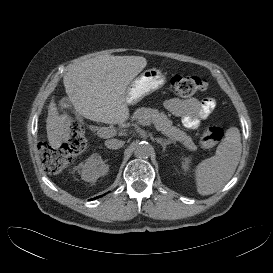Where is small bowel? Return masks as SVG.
Here are the masks:
<instances>
[{"mask_svg": "<svg viewBox=\"0 0 273 273\" xmlns=\"http://www.w3.org/2000/svg\"><path fill=\"white\" fill-rule=\"evenodd\" d=\"M163 106L173 115L180 117L186 128L196 130L212 115L216 102L213 98L201 100L171 98L165 100Z\"/></svg>", "mask_w": 273, "mask_h": 273, "instance_id": "1", "label": "small bowel"}]
</instances>
